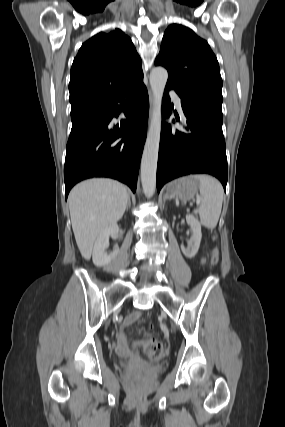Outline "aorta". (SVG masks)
<instances>
[{"mask_svg":"<svg viewBox=\"0 0 285 427\" xmlns=\"http://www.w3.org/2000/svg\"><path fill=\"white\" fill-rule=\"evenodd\" d=\"M168 72L163 67H155L150 73V86L153 93V111L141 160V183L146 197L150 198L156 190V170L161 134V104Z\"/></svg>","mask_w":285,"mask_h":427,"instance_id":"1","label":"aorta"}]
</instances>
